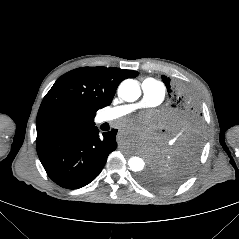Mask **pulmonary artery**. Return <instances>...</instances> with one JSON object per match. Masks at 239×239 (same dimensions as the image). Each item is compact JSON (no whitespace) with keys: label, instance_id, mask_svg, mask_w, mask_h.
Instances as JSON below:
<instances>
[{"label":"pulmonary artery","instance_id":"1","mask_svg":"<svg viewBox=\"0 0 239 239\" xmlns=\"http://www.w3.org/2000/svg\"><path fill=\"white\" fill-rule=\"evenodd\" d=\"M143 97L141 101L134 104L114 107L100 117V122H109L119 119L139 108L154 107L159 105L165 97V86L162 82L152 78L142 82Z\"/></svg>","mask_w":239,"mask_h":239}]
</instances>
